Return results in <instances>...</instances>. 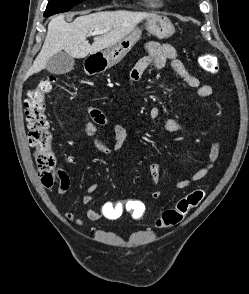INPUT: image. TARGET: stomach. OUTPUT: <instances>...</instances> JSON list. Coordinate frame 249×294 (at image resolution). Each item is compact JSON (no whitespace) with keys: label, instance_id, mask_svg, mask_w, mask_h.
<instances>
[{"label":"stomach","instance_id":"1","mask_svg":"<svg viewBox=\"0 0 249 294\" xmlns=\"http://www.w3.org/2000/svg\"><path fill=\"white\" fill-rule=\"evenodd\" d=\"M145 27L149 33L159 39L168 38L175 32L170 19L160 15H153L147 18ZM140 36L141 30L137 28L115 45L108 47L101 52L95 53V55H98L102 67L108 69L119 63L139 40Z\"/></svg>","mask_w":249,"mask_h":294}]
</instances>
